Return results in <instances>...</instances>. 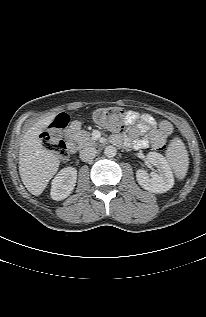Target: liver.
<instances>
[{
	"label": "liver",
	"instance_id": "6515ba94",
	"mask_svg": "<svg viewBox=\"0 0 206 317\" xmlns=\"http://www.w3.org/2000/svg\"><path fill=\"white\" fill-rule=\"evenodd\" d=\"M56 114L44 117L24 134L19 150V173L27 190L40 195L59 167L57 155L43 147L39 135L55 119Z\"/></svg>",
	"mask_w": 206,
	"mask_h": 317
}]
</instances>
